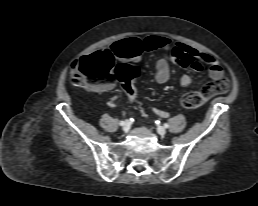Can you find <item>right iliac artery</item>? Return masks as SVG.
Wrapping results in <instances>:
<instances>
[{"label":"right iliac artery","instance_id":"82829eb1","mask_svg":"<svg viewBox=\"0 0 258 206\" xmlns=\"http://www.w3.org/2000/svg\"><path fill=\"white\" fill-rule=\"evenodd\" d=\"M124 123H125L124 121H120L119 124H120L121 126H123Z\"/></svg>","mask_w":258,"mask_h":206}]
</instances>
